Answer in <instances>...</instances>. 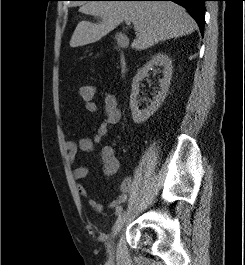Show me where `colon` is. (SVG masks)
Returning <instances> with one entry per match:
<instances>
[{"mask_svg":"<svg viewBox=\"0 0 245 265\" xmlns=\"http://www.w3.org/2000/svg\"><path fill=\"white\" fill-rule=\"evenodd\" d=\"M96 95V88L94 85H83L79 88V96L84 103L94 101Z\"/></svg>","mask_w":245,"mask_h":265,"instance_id":"5ec220e1","label":"colon"}]
</instances>
